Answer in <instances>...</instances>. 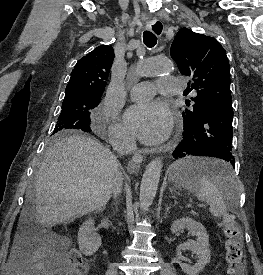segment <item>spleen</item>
<instances>
[{"label":"spleen","instance_id":"spleen-1","mask_svg":"<svg viewBox=\"0 0 263 275\" xmlns=\"http://www.w3.org/2000/svg\"><path fill=\"white\" fill-rule=\"evenodd\" d=\"M170 172L171 180L206 202L214 217H221L238 200L239 180L224 161L187 157L172 164Z\"/></svg>","mask_w":263,"mask_h":275}]
</instances>
